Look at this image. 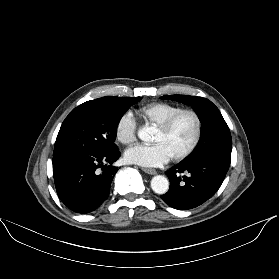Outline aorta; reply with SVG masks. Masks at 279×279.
<instances>
[{"instance_id":"762f6f07","label":"aorta","mask_w":279,"mask_h":279,"mask_svg":"<svg viewBox=\"0 0 279 279\" xmlns=\"http://www.w3.org/2000/svg\"><path fill=\"white\" fill-rule=\"evenodd\" d=\"M152 129L150 127H143L138 131V137L142 141H150L152 139ZM151 188L157 194H165L169 189V181L165 176L157 175L151 180Z\"/></svg>"}]
</instances>
